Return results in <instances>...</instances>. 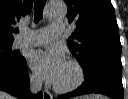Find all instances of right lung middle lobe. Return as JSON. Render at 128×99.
<instances>
[{"label": "right lung middle lobe", "mask_w": 128, "mask_h": 99, "mask_svg": "<svg viewBox=\"0 0 128 99\" xmlns=\"http://www.w3.org/2000/svg\"><path fill=\"white\" fill-rule=\"evenodd\" d=\"M12 43H0V64L14 65L22 58L19 52L11 50Z\"/></svg>", "instance_id": "obj_1"}]
</instances>
